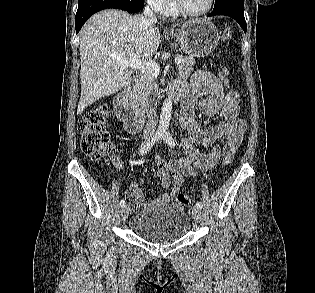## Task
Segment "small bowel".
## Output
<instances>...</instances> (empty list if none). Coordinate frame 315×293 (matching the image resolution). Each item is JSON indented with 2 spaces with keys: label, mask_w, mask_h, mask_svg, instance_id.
<instances>
[{
  "label": "small bowel",
  "mask_w": 315,
  "mask_h": 293,
  "mask_svg": "<svg viewBox=\"0 0 315 293\" xmlns=\"http://www.w3.org/2000/svg\"><path fill=\"white\" fill-rule=\"evenodd\" d=\"M173 91L183 97L182 111L178 119L181 130L187 132V137L180 143L186 156L178 160L155 159L157 177L167 191L166 193L145 201L146 197L137 184H132L127 190L128 202H135V211L140 212L151 205H166L176 202V192L184 181L193 176L196 170L211 168L221 155H234L246 130V122L239 117V96L235 91L226 89L222 80L207 71L196 72L189 83L177 82ZM198 106L206 117L218 116L224 122L212 128H204V122L195 115ZM224 141V146L216 144ZM197 145L209 148L202 151ZM114 162L119 165L115 159ZM129 188V189H130Z\"/></svg>",
  "instance_id": "c3829d8e"
}]
</instances>
